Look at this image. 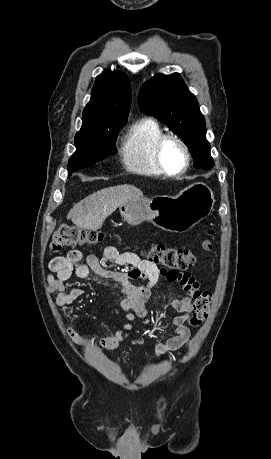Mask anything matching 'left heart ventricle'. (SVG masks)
<instances>
[{
  "label": "left heart ventricle",
  "mask_w": 271,
  "mask_h": 459,
  "mask_svg": "<svg viewBox=\"0 0 271 459\" xmlns=\"http://www.w3.org/2000/svg\"><path fill=\"white\" fill-rule=\"evenodd\" d=\"M163 159L168 169L172 172L183 170L187 163L186 152L176 139H168L164 143Z\"/></svg>",
  "instance_id": "left-heart-ventricle-1"
}]
</instances>
